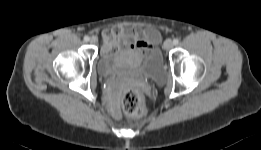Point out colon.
Instances as JSON below:
<instances>
[{"label":"colon","mask_w":261,"mask_h":150,"mask_svg":"<svg viewBox=\"0 0 261 150\" xmlns=\"http://www.w3.org/2000/svg\"><path fill=\"white\" fill-rule=\"evenodd\" d=\"M121 105L125 114L131 117H142L147 113L146 103L137 89H127L121 97Z\"/></svg>","instance_id":"colon-1"}]
</instances>
